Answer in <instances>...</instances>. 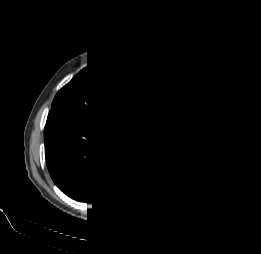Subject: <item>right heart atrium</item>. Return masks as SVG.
Returning <instances> with one entry per match:
<instances>
[{
    "label": "right heart atrium",
    "instance_id": "d8ad5b80",
    "mask_svg": "<svg viewBox=\"0 0 261 254\" xmlns=\"http://www.w3.org/2000/svg\"><path fill=\"white\" fill-rule=\"evenodd\" d=\"M128 117V114L127 113H125V118H127Z\"/></svg>",
    "mask_w": 261,
    "mask_h": 254
}]
</instances>
